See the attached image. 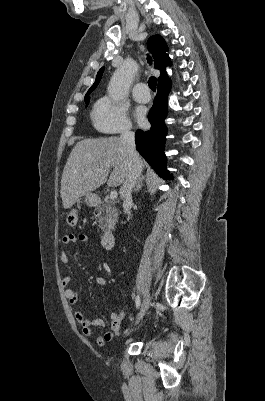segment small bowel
Wrapping results in <instances>:
<instances>
[{
    "mask_svg": "<svg viewBox=\"0 0 265 401\" xmlns=\"http://www.w3.org/2000/svg\"><path fill=\"white\" fill-rule=\"evenodd\" d=\"M80 241L82 243H88L90 241V237L86 234H67L63 237L62 242L65 245L76 243ZM61 262L66 266V268L71 271L70 259L69 255L66 251H63L60 256ZM73 280V275L69 274L62 278V284L66 287L65 289V296L68 302L71 305H75L78 301V293L73 288L69 287L70 283ZM95 282L101 286H108V281L101 277L97 276L95 278ZM74 317L77 323L80 325L82 333L86 337H90L93 333L94 327H104L105 321L100 318H90L86 317L81 311H75ZM125 317L123 311H113L110 315L111 320V330L98 336L97 343L100 346H104L106 343L111 342L115 337L120 336L121 333V324Z\"/></svg>",
    "mask_w": 265,
    "mask_h": 401,
    "instance_id": "small-bowel-1",
    "label": "small bowel"
}]
</instances>
